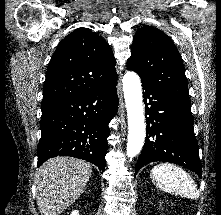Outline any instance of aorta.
I'll use <instances>...</instances> for the list:
<instances>
[{"label": "aorta", "instance_id": "obj_1", "mask_svg": "<svg viewBox=\"0 0 221 215\" xmlns=\"http://www.w3.org/2000/svg\"><path fill=\"white\" fill-rule=\"evenodd\" d=\"M122 83L128 117L126 154L133 158L143 147L146 131L141 81L135 72L128 71L125 73Z\"/></svg>", "mask_w": 221, "mask_h": 215}]
</instances>
